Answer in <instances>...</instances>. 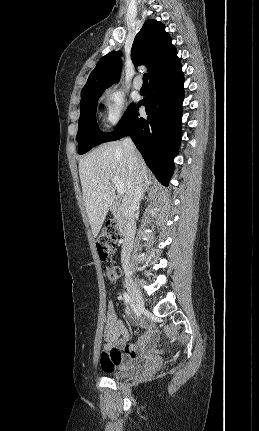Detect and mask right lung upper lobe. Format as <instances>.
Masks as SVG:
<instances>
[{
    "mask_svg": "<svg viewBox=\"0 0 259 431\" xmlns=\"http://www.w3.org/2000/svg\"><path fill=\"white\" fill-rule=\"evenodd\" d=\"M120 51H112L102 57L91 72L81 92V99L90 93L103 92L120 79ZM135 66L145 65L150 81L180 63L177 50L172 44L165 26L156 20L148 19L136 35L131 51Z\"/></svg>",
    "mask_w": 259,
    "mask_h": 431,
    "instance_id": "1",
    "label": "right lung upper lobe"
}]
</instances>
